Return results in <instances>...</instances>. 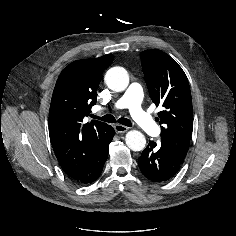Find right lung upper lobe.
Masks as SVG:
<instances>
[{
    "label": "right lung upper lobe",
    "mask_w": 236,
    "mask_h": 236,
    "mask_svg": "<svg viewBox=\"0 0 236 236\" xmlns=\"http://www.w3.org/2000/svg\"><path fill=\"white\" fill-rule=\"evenodd\" d=\"M113 55L77 60L56 82L50 110V141L62 169L72 178L81 173L102 146L109 125L94 120L83 123L96 102V90Z\"/></svg>",
    "instance_id": "obj_1"
}]
</instances>
